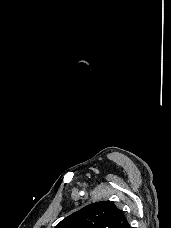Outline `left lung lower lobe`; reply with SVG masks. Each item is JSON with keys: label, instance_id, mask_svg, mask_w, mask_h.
<instances>
[{"label": "left lung lower lobe", "instance_id": "obj_1", "mask_svg": "<svg viewBox=\"0 0 171 228\" xmlns=\"http://www.w3.org/2000/svg\"><path fill=\"white\" fill-rule=\"evenodd\" d=\"M122 228H130L129 223L127 222Z\"/></svg>", "mask_w": 171, "mask_h": 228}]
</instances>
